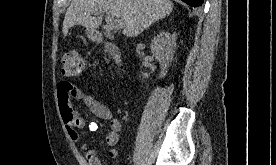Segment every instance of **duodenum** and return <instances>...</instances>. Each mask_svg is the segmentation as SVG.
Wrapping results in <instances>:
<instances>
[{
    "mask_svg": "<svg viewBox=\"0 0 276 165\" xmlns=\"http://www.w3.org/2000/svg\"><path fill=\"white\" fill-rule=\"evenodd\" d=\"M96 40H101V36L99 34L95 35ZM105 50L112 56V58L116 61V63H119L121 60L120 50L119 48L112 43H106Z\"/></svg>",
    "mask_w": 276,
    "mask_h": 165,
    "instance_id": "obj_1",
    "label": "duodenum"
}]
</instances>
